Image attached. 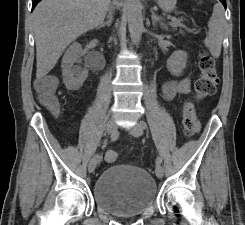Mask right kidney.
I'll use <instances>...</instances> for the list:
<instances>
[{
    "label": "right kidney",
    "instance_id": "obj_1",
    "mask_svg": "<svg viewBox=\"0 0 245 225\" xmlns=\"http://www.w3.org/2000/svg\"><path fill=\"white\" fill-rule=\"evenodd\" d=\"M82 47L79 43L74 42L65 52L61 68L63 82L68 90H78L88 77V70L74 65L80 63Z\"/></svg>",
    "mask_w": 245,
    "mask_h": 225
}]
</instances>
